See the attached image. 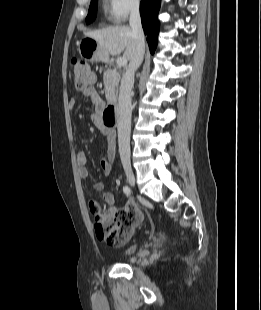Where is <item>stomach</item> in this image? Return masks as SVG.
Instances as JSON below:
<instances>
[{
  "mask_svg": "<svg viewBox=\"0 0 261 310\" xmlns=\"http://www.w3.org/2000/svg\"><path fill=\"white\" fill-rule=\"evenodd\" d=\"M79 52L86 60L95 62L104 59L99 44L92 38H85L79 44Z\"/></svg>",
  "mask_w": 261,
  "mask_h": 310,
  "instance_id": "obj_1",
  "label": "stomach"
}]
</instances>
